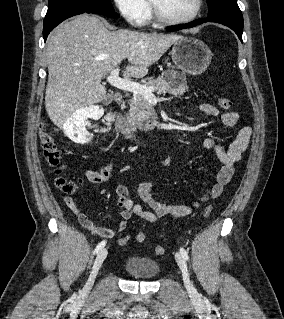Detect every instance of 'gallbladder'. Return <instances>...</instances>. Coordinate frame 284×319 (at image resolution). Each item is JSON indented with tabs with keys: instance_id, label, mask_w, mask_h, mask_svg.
Returning a JSON list of instances; mask_svg holds the SVG:
<instances>
[{
	"instance_id": "gallbladder-1",
	"label": "gallbladder",
	"mask_w": 284,
	"mask_h": 319,
	"mask_svg": "<svg viewBox=\"0 0 284 319\" xmlns=\"http://www.w3.org/2000/svg\"><path fill=\"white\" fill-rule=\"evenodd\" d=\"M111 100L109 95H106L105 98L103 99V103H108Z\"/></svg>"
}]
</instances>
